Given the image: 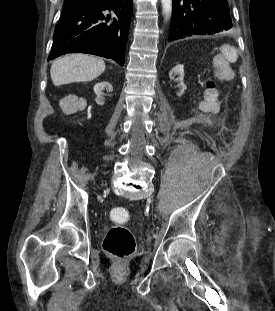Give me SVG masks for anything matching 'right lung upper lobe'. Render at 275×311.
<instances>
[{"label": "right lung upper lobe", "instance_id": "obj_1", "mask_svg": "<svg viewBox=\"0 0 275 311\" xmlns=\"http://www.w3.org/2000/svg\"><path fill=\"white\" fill-rule=\"evenodd\" d=\"M78 1H80V0H66L65 5H69V4L78 2Z\"/></svg>", "mask_w": 275, "mask_h": 311}]
</instances>
